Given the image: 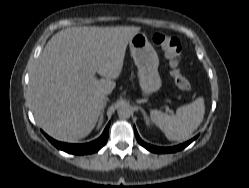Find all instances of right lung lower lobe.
<instances>
[{"instance_id": "right-lung-lower-lobe-1", "label": "right lung lower lobe", "mask_w": 249, "mask_h": 188, "mask_svg": "<svg viewBox=\"0 0 249 188\" xmlns=\"http://www.w3.org/2000/svg\"><path fill=\"white\" fill-rule=\"evenodd\" d=\"M109 125L108 124L103 132V134L96 139L95 141H92L90 143H86V144H68V143H62V142H58L52 138H50L48 135H46L47 139L54 145L56 146L58 149L63 150L67 153H71V154H91L94 152H97L98 150H100L104 144L106 143L107 139H108V130H109Z\"/></svg>"}]
</instances>
